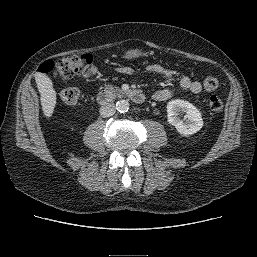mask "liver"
<instances>
[{
  "label": "liver",
  "instance_id": "liver-1",
  "mask_svg": "<svg viewBox=\"0 0 257 257\" xmlns=\"http://www.w3.org/2000/svg\"><path fill=\"white\" fill-rule=\"evenodd\" d=\"M38 90L40 92V100L43 113L46 117H51L56 105V91L53 88L52 80L43 73L35 75Z\"/></svg>",
  "mask_w": 257,
  "mask_h": 257
}]
</instances>
